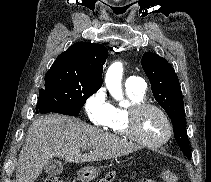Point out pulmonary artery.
Wrapping results in <instances>:
<instances>
[{"mask_svg": "<svg viewBox=\"0 0 211 182\" xmlns=\"http://www.w3.org/2000/svg\"><path fill=\"white\" fill-rule=\"evenodd\" d=\"M125 88L128 90L137 91L139 93H144L146 84L141 78L137 76H130L125 81Z\"/></svg>", "mask_w": 211, "mask_h": 182, "instance_id": "pulmonary-artery-1", "label": "pulmonary artery"}]
</instances>
